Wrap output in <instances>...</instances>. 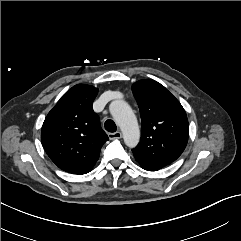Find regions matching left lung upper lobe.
Masks as SVG:
<instances>
[{"mask_svg": "<svg viewBox=\"0 0 241 241\" xmlns=\"http://www.w3.org/2000/svg\"><path fill=\"white\" fill-rule=\"evenodd\" d=\"M132 91L142 127L140 142L132 151L143 169L157 171L184 151L189 135L187 115L180 102L155 80H140Z\"/></svg>", "mask_w": 241, "mask_h": 241, "instance_id": "left-lung-upper-lobe-1", "label": "left lung upper lobe"}]
</instances>
